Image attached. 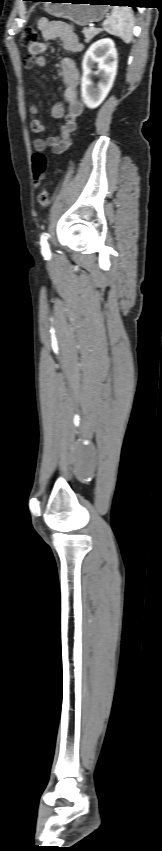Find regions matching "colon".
<instances>
[{
    "label": "colon",
    "mask_w": 162,
    "mask_h": 851,
    "mask_svg": "<svg viewBox=\"0 0 162 851\" xmlns=\"http://www.w3.org/2000/svg\"><path fill=\"white\" fill-rule=\"evenodd\" d=\"M37 40V31L32 27H28L22 33L20 44L22 47L28 48L31 45L35 44ZM32 172L36 187L38 189L37 202L40 206L46 207L49 204V195L45 184L47 172V158L43 153L39 151L35 152L32 156Z\"/></svg>",
    "instance_id": "colon-1"
}]
</instances>
